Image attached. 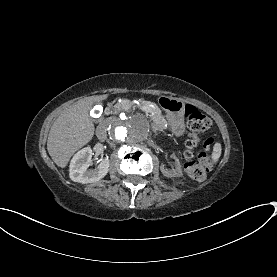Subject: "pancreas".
I'll use <instances>...</instances> for the list:
<instances>
[{
    "label": "pancreas",
    "instance_id": "1",
    "mask_svg": "<svg viewBox=\"0 0 277 277\" xmlns=\"http://www.w3.org/2000/svg\"><path fill=\"white\" fill-rule=\"evenodd\" d=\"M136 110L152 117V125L155 128H160L165 125L163 118H160L161 111L159 110V107L156 104H150V101L144 97L140 98L137 103L135 101H125L121 98L113 99L110 102V106L107 108V113L110 116H115L122 112H135Z\"/></svg>",
    "mask_w": 277,
    "mask_h": 277
}]
</instances>
